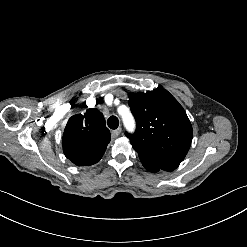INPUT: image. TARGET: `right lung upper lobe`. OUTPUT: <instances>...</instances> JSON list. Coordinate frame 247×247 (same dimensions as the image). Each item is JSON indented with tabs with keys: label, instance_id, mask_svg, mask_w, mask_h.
Returning a JSON list of instances; mask_svg holds the SVG:
<instances>
[{
	"label": "right lung upper lobe",
	"instance_id": "right-lung-upper-lobe-1",
	"mask_svg": "<svg viewBox=\"0 0 247 247\" xmlns=\"http://www.w3.org/2000/svg\"><path fill=\"white\" fill-rule=\"evenodd\" d=\"M110 131L102 113L95 108L72 116L63 134V152L77 166H91L103 156L110 142Z\"/></svg>",
	"mask_w": 247,
	"mask_h": 247
}]
</instances>
